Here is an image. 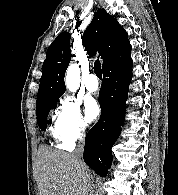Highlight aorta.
<instances>
[{"instance_id":"obj_1","label":"aorta","mask_w":178,"mask_h":195,"mask_svg":"<svg viewBox=\"0 0 178 195\" xmlns=\"http://www.w3.org/2000/svg\"><path fill=\"white\" fill-rule=\"evenodd\" d=\"M66 87L71 92H76L80 84V69L77 64H71L65 76Z\"/></svg>"}]
</instances>
